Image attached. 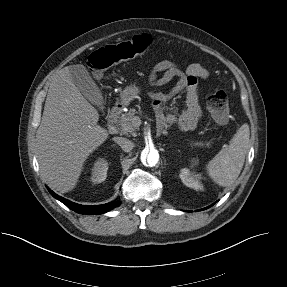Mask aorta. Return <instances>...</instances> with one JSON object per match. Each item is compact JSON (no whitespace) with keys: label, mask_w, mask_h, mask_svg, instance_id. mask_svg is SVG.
<instances>
[{"label":"aorta","mask_w":287,"mask_h":287,"mask_svg":"<svg viewBox=\"0 0 287 287\" xmlns=\"http://www.w3.org/2000/svg\"><path fill=\"white\" fill-rule=\"evenodd\" d=\"M141 162L147 166H155L159 161V152L154 148H145L141 152Z\"/></svg>","instance_id":"obj_1"}]
</instances>
